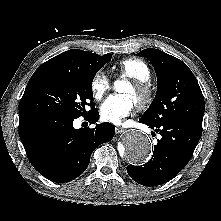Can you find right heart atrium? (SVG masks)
I'll list each match as a JSON object with an SVG mask.
<instances>
[{
  "label": "right heart atrium",
  "instance_id": "d8ad5b80",
  "mask_svg": "<svg viewBox=\"0 0 221 221\" xmlns=\"http://www.w3.org/2000/svg\"><path fill=\"white\" fill-rule=\"evenodd\" d=\"M90 88L95 99H101L110 88V79L103 71H98L91 79Z\"/></svg>",
  "mask_w": 221,
  "mask_h": 221
}]
</instances>
